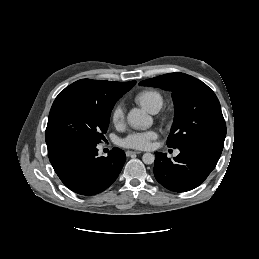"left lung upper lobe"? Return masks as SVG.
<instances>
[{
  "instance_id": "5c2ea615",
  "label": "left lung upper lobe",
  "mask_w": 259,
  "mask_h": 259,
  "mask_svg": "<svg viewBox=\"0 0 259 259\" xmlns=\"http://www.w3.org/2000/svg\"><path fill=\"white\" fill-rule=\"evenodd\" d=\"M172 92L175 118L167 145L179 148L201 138L225 140L226 124L215 93L202 81L184 74L169 73L139 83Z\"/></svg>"
}]
</instances>
